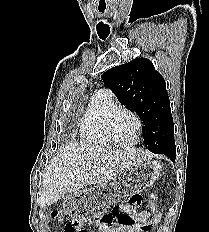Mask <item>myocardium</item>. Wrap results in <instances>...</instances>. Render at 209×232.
<instances>
[{
  "label": "myocardium",
  "instance_id": "f54148a6",
  "mask_svg": "<svg viewBox=\"0 0 209 232\" xmlns=\"http://www.w3.org/2000/svg\"><path fill=\"white\" fill-rule=\"evenodd\" d=\"M123 113L130 114L136 122V129H135L132 137L126 141L118 140L113 133V123L116 120V118ZM141 128H142V121H141L139 115L135 111H133L132 109L125 108V107H119V108L115 109L114 111H112L108 115V117L106 119V124H105L106 136L109 139V141L115 145H130V144H132L133 141L136 139L137 135L139 134Z\"/></svg>",
  "mask_w": 209,
  "mask_h": 232
}]
</instances>
